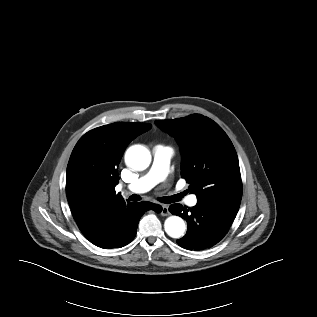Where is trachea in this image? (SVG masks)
I'll use <instances>...</instances> for the list:
<instances>
[{
    "mask_svg": "<svg viewBox=\"0 0 317 317\" xmlns=\"http://www.w3.org/2000/svg\"><path fill=\"white\" fill-rule=\"evenodd\" d=\"M184 196L183 193L181 194H177L174 196H167V197H163L160 199V201L164 202V203H173L176 202L178 200H180L182 197ZM141 199V197L139 195L133 194L129 197L130 201H139Z\"/></svg>",
    "mask_w": 317,
    "mask_h": 317,
    "instance_id": "trachea-1",
    "label": "trachea"
}]
</instances>
